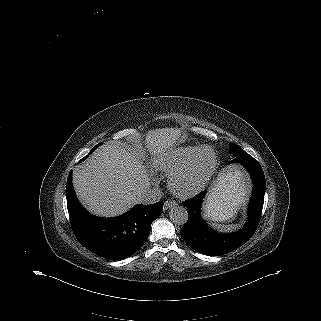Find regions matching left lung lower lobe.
Segmentation results:
<instances>
[{"instance_id":"obj_1","label":"left lung lower lobe","mask_w":321,"mask_h":321,"mask_svg":"<svg viewBox=\"0 0 321 321\" xmlns=\"http://www.w3.org/2000/svg\"><path fill=\"white\" fill-rule=\"evenodd\" d=\"M234 162L246 167L253 181V194L248 207V222L242 229L232 234H219L206 225L200 214L206 191L183 202L189 218L180 231L181 237L191 248L201 254L218 256L237 249L250 239L260 221L266 186L263 170L258 161L248 153L236 156L230 163Z\"/></svg>"}]
</instances>
